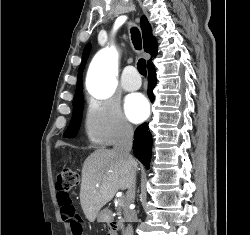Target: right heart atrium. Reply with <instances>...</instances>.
I'll use <instances>...</instances> for the list:
<instances>
[{"label": "right heart atrium", "mask_w": 250, "mask_h": 235, "mask_svg": "<svg viewBox=\"0 0 250 235\" xmlns=\"http://www.w3.org/2000/svg\"><path fill=\"white\" fill-rule=\"evenodd\" d=\"M84 131L91 142L102 145L129 141L134 133L117 103L98 99H90L87 103Z\"/></svg>", "instance_id": "obj_1"}]
</instances>
